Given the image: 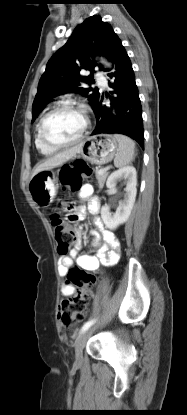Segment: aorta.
Here are the masks:
<instances>
[{"mask_svg": "<svg viewBox=\"0 0 187 415\" xmlns=\"http://www.w3.org/2000/svg\"><path fill=\"white\" fill-rule=\"evenodd\" d=\"M102 63H103L104 65L108 66V63H107L106 61L102 60Z\"/></svg>", "mask_w": 187, "mask_h": 415, "instance_id": "762f6f07", "label": "aorta"}]
</instances>
